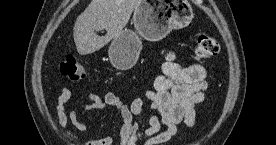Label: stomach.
Instances as JSON below:
<instances>
[{
  "label": "stomach",
  "mask_w": 276,
  "mask_h": 145,
  "mask_svg": "<svg viewBox=\"0 0 276 145\" xmlns=\"http://www.w3.org/2000/svg\"><path fill=\"white\" fill-rule=\"evenodd\" d=\"M194 13L187 0H140L133 14L134 29H124L113 38L108 50L118 70L131 69L142 49L141 39L159 41L173 29L187 26Z\"/></svg>",
  "instance_id": "0dacf381"
}]
</instances>
